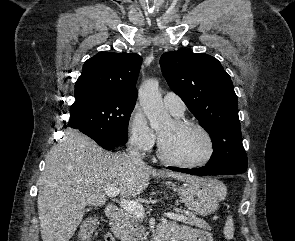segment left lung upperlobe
Listing matches in <instances>:
<instances>
[{
  "label": "left lung upper lobe",
  "instance_id": "left-lung-upper-lobe-1",
  "mask_svg": "<svg viewBox=\"0 0 295 241\" xmlns=\"http://www.w3.org/2000/svg\"><path fill=\"white\" fill-rule=\"evenodd\" d=\"M160 66L168 85L209 133L214 152L208 166L245 172L237 96L220 62L205 53L181 49L164 53Z\"/></svg>",
  "mask_w": 295,
  "mask_h": 241
}]
</instances>
